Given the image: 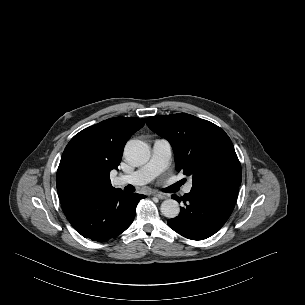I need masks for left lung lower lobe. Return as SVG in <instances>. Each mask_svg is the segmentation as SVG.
<instances>
[{
	"label": "left lung lower lobe",
	"instance_id": "left-lung-lower-lobe-1",
	"mask_svg": "<svg viewBox=\"0 0 305 305\" xmlns=\"http://www.w3.org/2000/svg\"><path fill=\"white\" fill-rule=\"evenodd\" d=\"M239 186H219L210 189L192 188L188 194L179 198L185 207L180 214L168 220L171 229L180 235L192 239L203 240L215 234L230 217L238 195Z\"/></svg>",
	"mask_w": 305,
	"mask_h": 305
}]
</instances>
